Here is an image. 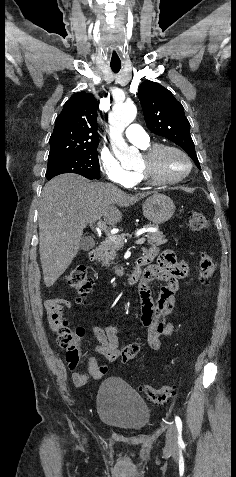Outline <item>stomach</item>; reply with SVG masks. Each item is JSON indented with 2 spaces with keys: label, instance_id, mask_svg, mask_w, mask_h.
<instances>
[{
  "label": "stomach",
  "instance_id": "stomach-1",
  "mask_svg": "<svg viewBox=\"0 0 236 477\" xmlns=\"http://www.w3.org/2000/svg\"><path fill=\"white\" fill-rule=\"evenodd\" d=\"M143 215L154 224L168 221L175 212V205L170 197L155 193L143 203Z\"/></svg>",
  "mask_w": 236,
  "mask_h": 477
}]
</instances>
